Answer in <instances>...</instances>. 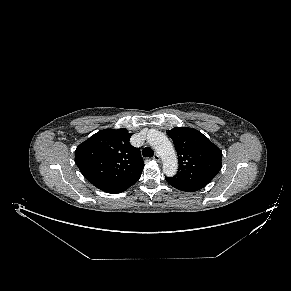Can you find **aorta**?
<instances>
[{"label": "aorta", "instance_id": "1", "mask_svg": "<svg viewBox=\"0 0 291 291\" xmlns=\"http://www.w3.org/2000/svg\"><path fill=\"white\" fill-rule=\"evenodd\" d=\"M147 141L161 157L164 174L168 177L174 176L177 172L178 160L168 137L160 131L151 129L147 134Z\"/></svg>", "mask_w": 291, "mask_h": 291}]
</instances>
